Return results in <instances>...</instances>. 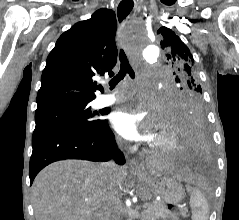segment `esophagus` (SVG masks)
<instances>
[{
  "label": "esophagus",
  "instance_id": "obj_1",
  "mask_svg": "<svg viewBox=\"0 0 239 220\" xmlns=\"http://www.w3.org/2000/svg\"><path fill=\"white\" fill-rule=\"evenodd\" d=\"M136 9H137V1L136 0H121L120 4L118 6V9H117L118 20L121 22L123 19L126 18V16L130 12H133ZM129 166L133 170H136V171L141 170V165L134 158H131L129 160Z\"/></svg>",
  "mask_w": 239,
  "mask_h": 220
}]
</instances>
